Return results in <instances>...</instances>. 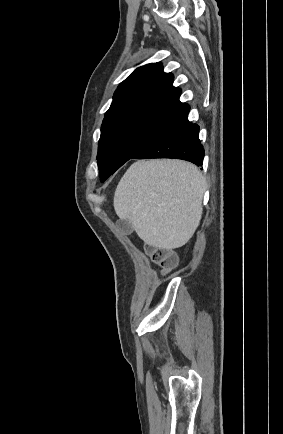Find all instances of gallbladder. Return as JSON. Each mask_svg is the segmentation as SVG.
Instances as JSON below:
<instances>
[{
	"label": "gallbladder",
	"instance_id": "bac80fb5",
	"mask_svg": "<svg viewBox=\"0 0 283 434\" xmlns=\"http://www.w3.org/2000/svg\"><path fill=\"white\" fill-rule=\"evenodd\" d=\"M117 226L125 233L131 234L133 232V227L128 220H119Z\"/></svg>",
	"mask_w": 283,
	"mask_h": 434
}]
</instances>
